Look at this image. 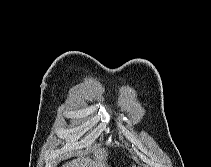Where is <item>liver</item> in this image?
<instances>
[{
	"label": "liver",
	"mask_w": 211,
	"mask_h": 167,
	"mask_svg": "<svg viewBox=\"0 0 211 167\" xmlns=\"http://www.w3.org/2000/svg\"><path fill=\"white\" fill-rule=\"evenodd\" d=\"M107 156L108 154L105 150L98 149L94 153L93 160L89 157L78 158L65 163L62 167H109L106 162Z\"/></svg>",
	"instance_id": "obj_1"
}]
</instances>
